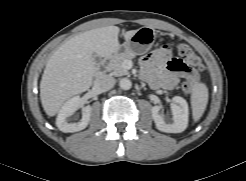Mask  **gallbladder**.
Segmentation results:
<instances>
[{
	"label": "gallbladder",
	"mask_w": 246,
	"mask_h": 181,
	"mask_svg": "<svg viewBox=\"0 0 246 181\" xmlns=\"http://www.w3.org/2000/svg\"><path fill=\"white\" fill-rule=\"evenodd\" d=\"M93 62L95 63V65H98L101 62V57L97 54H93Z\"/></svg>",
	"instance_id": "bac80fb5"
}]
</instances>
